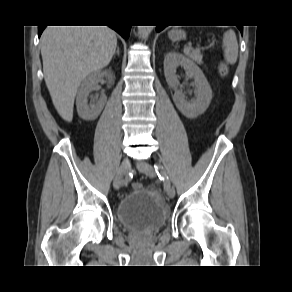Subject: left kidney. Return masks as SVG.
Wrapping results in <instances>:
<instances>
[{
    "mask_svg": "<svg viewBox=\"0 0 292 292\" xmlns=\"http://www.w3.org/2000/svg\"><path fill=\"white\" fill-rule=\"evenodd\" d=\"M181 66L186 75L194 79L196 99L187 101L182 91L178 90L179 81L176 69ZM164 75L166 81L174 90L173 101L178 110L187 118H197L208 108L212 99L211 87L201 69L184 55L170 52L164 58Z\"/></svg>",
    "mask_w": 292,
    "mask_h": 292,
    "instance_id": "left-kidney-1",
    "label": "left kidney"
}]
</instances>
